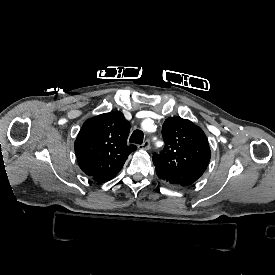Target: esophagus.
<instances>
[{"instance_id": "obj_1", "label": "esophagus", "mask_w": 275, "mask_h": 275, "mask_svg": "<svg viewBox=\"0 0 275 275\" xmlns=\"http://www.w3.org/2000/svg\"><path fill=\"white\" fill-rule=\"evenodd\" d=\"M150 148V141L146 139L142 145L138 146L140 150H148Z\"/></svg>"}]
</instances>
